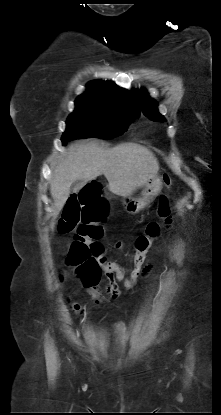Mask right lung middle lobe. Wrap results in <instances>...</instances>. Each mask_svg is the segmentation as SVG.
Listing matches in <instances>:
<instances>
[{
	"mask_svg": "<svg viewBox=\"0 0 221 415\" xmlns=\"http://www.w3.org/2000/svg\"><path fill=\"white\" fill-rule=\"evenodd\" d=\"M137 112L118 107H104L87 103H76L74 112L66 121L62 136L68 141L80 138L99 137L110 139L123 134Z\"/></svg>",
	"mask_w": 221,
	"mask_h": 415,
	"instance_id": "right-lung-middle-lobe-1",
	"label": "right lung middle lobe"
}]
</instances>
